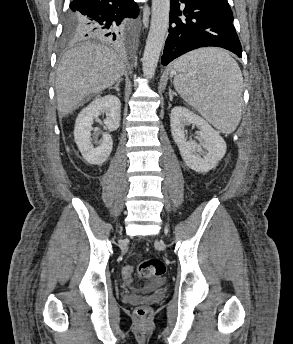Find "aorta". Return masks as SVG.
<instances>
[{"label":"aorta","mask_w":293,"mask_h":344,"mask_svg":"<svg viewBox=\"0 0 293 344\" xmlns=\"http://www.w3.org/2000/svg\"><path fill=\"white\" fill-rule=\"evenodd\" d=\"M170 0H152V16L149 34L142 58V70L151 79L157 68L169 26Z\"/></svg>","instance_id":"762f6f07"}]
</instances>
